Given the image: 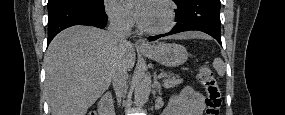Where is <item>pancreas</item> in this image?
<instances>
[{
    "label": "pancreas",
    "mask_w": 285,
    "mask_h": 115,
    "mask_svg": "<svg viewBox=\"0 0 285 115\" xmlns=\"http://www.w3.org/2000/svg\"><path fill=\"white\" fill-rule=\"evenodd\" d=\"M183 82L178 76L173 75H166L165 79L163 80V85L165 88H173Z\"/></svg>",
    "instance_id": "obj_1"
}]
</instances>
